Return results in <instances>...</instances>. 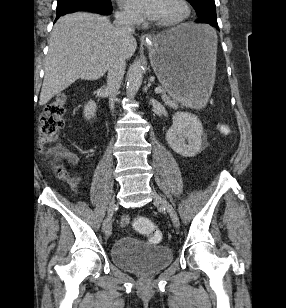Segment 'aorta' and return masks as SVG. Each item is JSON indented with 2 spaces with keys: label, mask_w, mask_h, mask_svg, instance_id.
I'll return each instance as SVG.
<instances>
[{
  "label": "aorta",
  "mask_w": 286,
  "mask_h": 308,
  "mask_svg": "<svg viewBox=\"0 0 286 308\" xmlns=\"http://www.w3.org/2000/svg\"><path fill=\"white\" fill-rule=\"evenodd\" d=\"M144 66L143 60L136 61L130 69L126 92L129 97H134L138 92L143 80Z\"/></svg>",
  "instance_id": "762f6f07"
}]
</instances>
